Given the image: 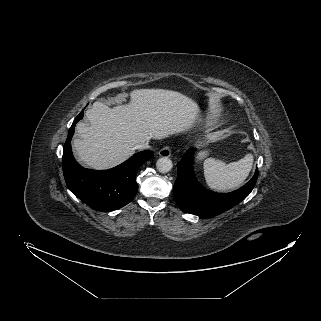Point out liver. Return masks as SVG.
<instances>
[{"instance_id": "6515ba94", "label": "liver", "mask_w": 321, "mask_h": 321, "mask_svg": "<svg viewBox=\"0 0 321 321\" xmlns=\"http://www.w3.org/2000/svg\"><path fill=\"white\" fill-rule=\"evenodd\" d=\"M130 102L109 108L96 101L86 111L89 125L76 126L73 147L79 161L93 169L114 167L150 139L187 132L200 115L198 104L188 96L165 89H135Z\"/></svg>"}]
</instances>
